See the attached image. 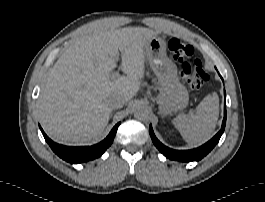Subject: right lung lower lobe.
<instances>
[{
	"label": "right lung lower lobe",
	"instance_id": "obj_1",
	"mask_svg": "<svg viewBox=\"0 0 265 202\" xmlns=\"http://www.w3.org/2000/svg\"><path fill=\"white\" fill-rule=\"evenodd\" d=\"M119 124L120 123L116 124L109 135L100 143L84 147H70L57 144L48 138L41 127L40 130L46 142L60 158L69 163H82L98 158L105 152V150L112 144Z\"/></svg>",
	"mask_w": 265,
	"mask_h": 202
}]
</instances>
